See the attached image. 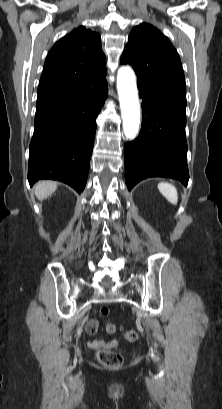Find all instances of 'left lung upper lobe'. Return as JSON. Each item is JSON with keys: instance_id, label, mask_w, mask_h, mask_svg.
Instances as JSON below:
<instances>
[{"instance_id": "left-lung-upper-lobe-1", "label": "left lung upper lobe", "mask_w": 222, "mask_h": 409, "mask_svg": "<svg viewBox=\"0 0 222 409\" xmlns=\"http://www.w3.org/2000/svg\"><path fill=\"white\" fill-rule=\"evenodd\" d=\"M120 62L134 68L139 91L152 92L170 101H186L179 55L154 26L142 23L132 29Z\"/></svg>"}]
</instances>
